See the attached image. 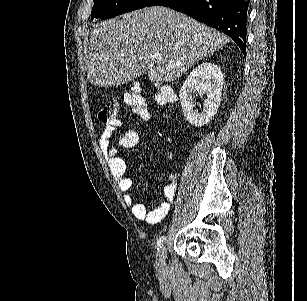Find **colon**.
Here are the masks:
<instances>
[{"mask_svg":"<svg viewBox=\"0 0 307 301\" xmlns=\"http://www.w3.org/2000/svg\"><path fill=\"white\" fill-rule=\"evenodd\" d=\"M123 100L131 107L133 113L140 121L149 118L147 101L139 86H134L129 92H127L124 95ZM155 100L160 105H169L174 102L175 94L170 87L158 84L156 86ZM118 109V102L116 100L108 101L98 114L99 120L104 124L116 121L118 117Z\"/></svg>","mask_w":307,"mask_h":301,"instance_id":"colon-1","label":"colon"}]
</instances>
